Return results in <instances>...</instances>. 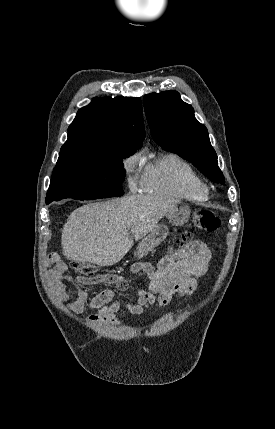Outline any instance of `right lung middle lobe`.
Masks as SVG:
<instances>
[{
	"mask_svg": "<svg viewBox=\"0 0 275 429\" xmlns=\"http://www.w3.org/2000/svg\"><path fill=\"white\" fill-rule=\"evenodd\" d=\"M134 152L59 157L47 191V204L64 198L92 200L124 194L122 159Z\"/></svg>",
	"mask_w": 275,
	"mask_h": 429,
	"instance_id": "obj_1",
	"label": "right lung middle lobe"
}]
</instances>
